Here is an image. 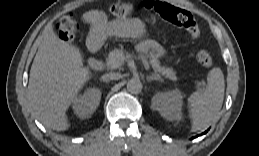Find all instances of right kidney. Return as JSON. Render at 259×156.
I'll list each match as a JSON object with an SVG mask.
<instances>
[{
  "instance_id": "ca27d5eb",
  "label": "right kidney",
  "mask_w": 259,
  "mask_h": 156,
  "mask_svg": "<svg viewBox=\"0 0 259 156\" xmlns=\"http://www.w3.org/2000/svg\"><path fill=\"white\" fill-rule=\"evenodd\" d=\"M100 99L101 91L98 88H87L75 98L72 109L79 118H89L99 106Z\"/></svg>"
}]
</instances>
